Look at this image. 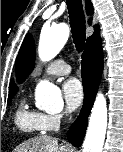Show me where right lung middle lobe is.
<instances>
[{
  "instance_id": "obj_1",
  "label": "right lung middle lobe",
  "mask_w": 123,
  "mask_h": 152,
  "mask_svg": "<svg viewBox=\"0 0 123 152\" xmlns=\"http://www.w3.org/2000/svg\"><path fill=\"white\" fill-rule=\"evenodd\" d=\"M13 96H14V94H10V95L8 96V103L11 101V99L13 98Z\"/></svg>"
}]
</instances>
